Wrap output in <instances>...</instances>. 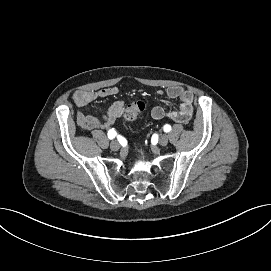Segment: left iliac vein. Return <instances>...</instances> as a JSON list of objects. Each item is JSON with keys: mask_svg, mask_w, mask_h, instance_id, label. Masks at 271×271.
<instances>
[{"mask_svg": "<svg viewBox=\"0 0 271 271\" xmlns=\"http://www.w3.org/2000/svg\"><path fill=\"white\" fill-rule=\"evenodd\" d=\"M159 143L162 146H166L168 144V136L167 135H161L159 138Z\"/></svg>", "mask_w": 271, "mask_h": 271, "instance_id": "obj_1", "label": "left iliac vein"}]
</instances>
